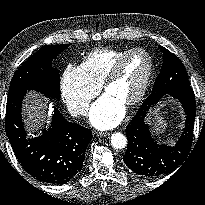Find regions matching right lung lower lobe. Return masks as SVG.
<instances>
[{
    "instance_id": "obj_1",
    "label": "right lung lower lobe",
    "mask_w": 205,
    "mask_h": 205,
    "mask_svg": "<svg viewBox=\"0 0 205 205\" xmlns=\"http://www.w3.org/2000/svg\"><path fill=\"white\" fill-rule=\"evenodd\" d=\"M26 91L8 94L5 129L12 149L23 168L34 178L49 184H64L82 168L85 150L92 132L68 122L54 107L49 129L29 138L21 118V105Z\"/></svg>"
}]
</instances>
